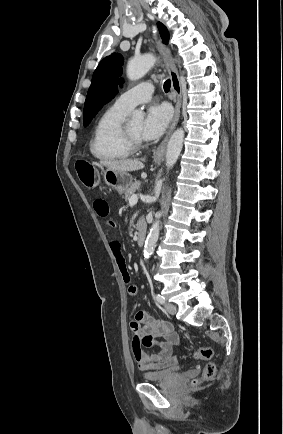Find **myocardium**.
Here are the masks:
<instances>
[{"label": "myocardium", "instance_id": "1", "mask_svg": "<svg viewBox=\"0 0 283 434\" xmlns=\"http://www.w3.org/2000/svg\"><path fill=\"white\" fill-rule=\"evenodd\" d=\"M123 133L127 144L132 148V150H137L143 146L141 138L133 135L129 130L128 125L123 126Z\"/></svg>", "mask_w": 283, "mask_h": 434}]
</instances>
